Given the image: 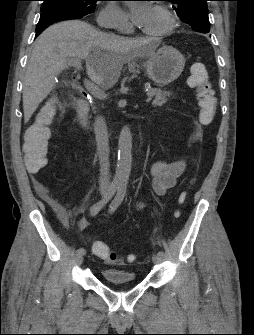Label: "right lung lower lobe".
<instances>
[{
    "mask_svg": "<svg viewBox=\"0 0 254 335\" xmlns=\"http://www.w3.org/2000/svg\"><path fill=\"white\" fill-rule=\"evenodd\" d=\"M83 17L84 16L78 15L77 13H73L65 9H49L43 11L41 12V16L36 27V37L53 23L62 20L81 19Z\"/></svg>",
    "mask_w": 254,
    "mask_h": 335,
    "instance_id": "right-lung-lower-lobe-1",
    "label": "right lung lower lobe"
}]
</instances>
